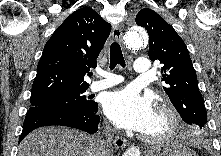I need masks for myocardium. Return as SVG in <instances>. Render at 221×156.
Instances as JSON below:
<instances>
[{
	"label": "myocardium",
	"instance_id": "f54148a6",
	"mask_svg": "<svg viewBox=\"0 0 221 156\" xmlns=\"http://www.w3.org/2000/svg\"><path fill=\"white\" fill-rule=\"evenodd\" d=\"M164 120V127L156 133H144L142 139L148 143H159L171 138L179 124L176 111L168 104L162 103L158 105L156 111Z\"/></svg>",
	"mask_w": 221,
	"mask_h": 156
}]
</instances>
